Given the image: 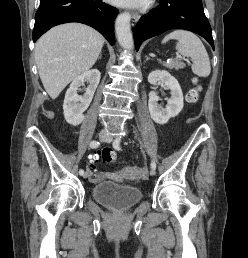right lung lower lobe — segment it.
<instances>
[{
  "label": "right lung lower lobe",
  "mask_w": 248,
  "mask_h": 258,
  "mask_svg": "<svg viewBox=\"0 0 248 258\" xmlns=\"http://www.w3.org/2000/svg\"><path fill=\"white\" fill-rule=\"evenodd\" d=\"M118 10L102 0H40L35 15L33 41L53 26L79 22L98 30L111 45L115 44L114 20Z\"/></svg>",
  "instance_id": "1"
}]
</instances>
